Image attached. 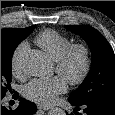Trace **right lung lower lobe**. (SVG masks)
<instances>
[{
	"instance_id": "right-lung-lower-lobe-1",
	"label": "right lung lower lobe",
	"mask_w": 115,
	"mask_h": 115,
	"mask_svg": "<svg viewBox=\"0 0 115 115\" xmlns=\"http://www.w3.org/2000/svg\"><path fill=\"white\" fill-rule=\"evenodd\" d=\"M19 94L14 92V97L18 98ZM3 97H1L2 100ZM19 106L12 110L1 105V115H33L36 111V105L26 99L20 98Z\"/></svg>"
}]
</instances>
